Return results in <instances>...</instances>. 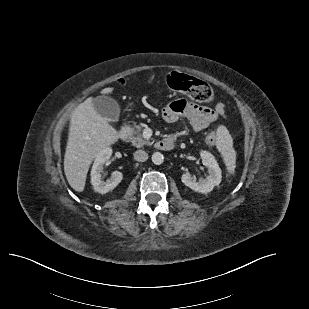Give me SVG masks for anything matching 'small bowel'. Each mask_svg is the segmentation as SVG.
I'll list each match as a JSON object with an SVG mask.
<instances>
[{"label":"small bowel","instance_id":"small-bowel-1","mask_svg":"<svg viewBox=\"0 0 309 309\" xmlns=\"http://www.w3.org/2000/svg\"><path fill=\"white\" fill-rule=\"evenodd\" d=\"M163 118L167 122H176L179 118H186L195 131H202L220 117H226V106L218 103L214 109L200 106L185 100H177L162 110Z\"/></svg>","mask_w":309,"mask_h":309}]
</instances>
